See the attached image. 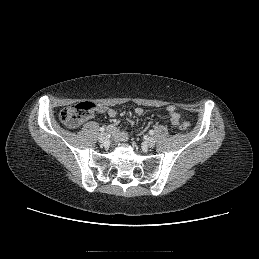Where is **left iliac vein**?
I'll return each mask as SVG.
<instances>
[{
	"mask_svg": "<svg viewBox=\"0 0 259 259\" xmlns=\"http://www.w3.org/2000/svg\"><path fill=\"white\" fill-rule=\"evenodd\" d=\"M145 144L149 148H153L155 146V139L153 137H149L145 140Z\"/></svg>",
	"mask_w": 259,
	"mask_h": 259,
	"instance_id": "left-iliac-vein-1",
	"label": "left iliac vein"
}]
</instances>
